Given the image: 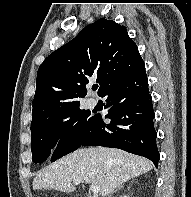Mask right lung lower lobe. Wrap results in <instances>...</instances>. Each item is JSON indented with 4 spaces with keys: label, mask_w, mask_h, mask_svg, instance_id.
Wrapping results in <instances>:
<instances>
[{
    "label": "right lung lower lobe",
    "mask_w": 191,
    "mask_h": 197,
    "mask_svg": "<svg viewBox=\"0 0 191 197\" xmlns=\"http://www.w3.org/2000/svg\"><path fill=\"white\" fill-rule=\"evenodd\" d=\"M110 124L100 115L81 146H104L144 156L157 166L160 155L156 146L152 97L148 89L145 66L110 84L102 93Z\"/></svg>",
    "instance_id": "right-lung-lower-lobe-1"
}]
</instances>
